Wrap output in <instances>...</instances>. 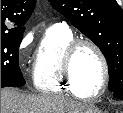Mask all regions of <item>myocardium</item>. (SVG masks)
Listing matches in <instances>:
<instances>
[{
  "label": "myocardium",
  "mask_w": 123,
  "mask_h": 113,
  "mask_svg": "<svg viewBox=\"0 0 123 113\" xmlns=\"http://www.w3.org/2000/svg\"><path fill=\"white\" fill-rule=\"evenodd\" d=\"M83 47H90L93 49L96 54L98 55L102 68H103V79L100 87L94 92V93H86V92H80L78 87L75 84L74 76H73V62L78 54V52L83 48ZM62 70L65 79L67 80L70 88L82 95V98H87V99H93L97 98L100 95H102L105 90L107 89L109 79H110V69H109V64L108 60L101 49V47L96 44L92 40L88 39H75L70 45L67 47L65 51V55L63 58V64H62Z\"/></svg>",
  "instance_id": "f54148a6"
}]
</instances>
